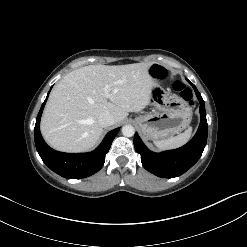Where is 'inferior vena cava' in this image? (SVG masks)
Returning <instances> with one entry per match:
<instances>
[{"instance_id":"inferior-vena-cava-1","label":"inferior vena cava","mask_w":247,"mask_h":247,"mask_svg":"<svg viewBox=\"0 0 247 247\" xmlns=\"http://www.w3.org/2000/svg\"><path fill=\"white\" fill-rule=\"evenodd\" d=\"M98 123L102 127H108L115 124V118L110 113H102L98 117Z\"/></svg>"}]
</instances>
